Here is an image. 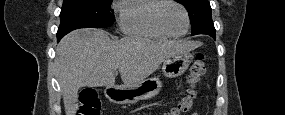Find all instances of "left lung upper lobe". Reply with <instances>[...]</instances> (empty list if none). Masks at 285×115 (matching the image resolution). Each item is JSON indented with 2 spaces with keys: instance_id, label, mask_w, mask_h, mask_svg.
Returning <instances> with one entry per match:
<instances>
[{
  "instance_id": "obj_1",
  "label": "left lung upper lobe",
  "mask_w": 285,
  "mask_h": 115,
  "mask_svg": "<svg viewBox=\"0 0 285 115\" xmlns=\"http://www.w3.org/2000/svg\"><path fill=\"white\" fill-rule=\"evenodd\" d=\"M187 9L192 27V35L208 34L215 30L208 0H177Z\"/></svg>"
}]
</instances>
